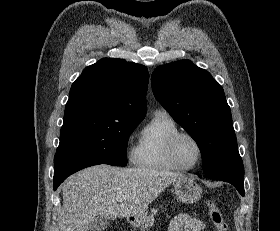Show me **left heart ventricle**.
Masks as SVG:
<instances>
[{
    "label": "left heart ventricle",
    "instance_id": "1",
    "mask_svg": "<svg viewBox=\"0 0 280 231\" xmlns=\"http://www.w3.org/2000/svg\"><path fill=\"white\" fill-rule=\"evenodd\" d=\"M174 156L181 166L192 168L198 163L199 148L192 138L182 136L176 142Z\"/></svg>",
    "mask_w": 280,
    "mask_h": 231
}]
</instances>
